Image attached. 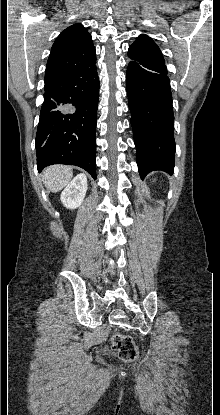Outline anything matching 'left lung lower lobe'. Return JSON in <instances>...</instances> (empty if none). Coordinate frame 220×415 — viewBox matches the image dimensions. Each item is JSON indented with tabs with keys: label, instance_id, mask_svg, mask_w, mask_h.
<instances>
[{
	"label": "left lung lower lobe",
	"instance_id": "left-lung-lower-lobe-1",
	"mask_svg": "<svg viewBox=\"0 0 220 415\" xmlns=\"http://www.w3.org/2000/svg\"><path fill=\"white\" fill-rule=\"evenodd\" d=\"M126 79L139 174L141 178L154 170L172 174L174 115L166 65L131 59Z\"/></svg>",
	"mask_w": 220,
	"mask_h": 415
}]
</instances>
